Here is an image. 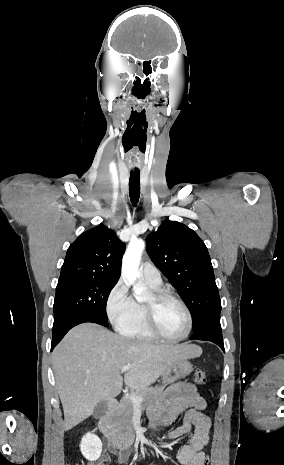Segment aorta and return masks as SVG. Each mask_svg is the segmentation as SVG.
Segmentation results:
<instances>
[{
	"label": "aorta",
	"instance_id": "1",
	"mask_svg": "<svg viewBox=\"0 0 284 465\" xmlns=\"http://www.w3.org/2000/svg\"><path fill=\"white\" fill-rule=\"evenodd\" d=\"M144 248L145 243L142 239L131 240L122 260L123 279L127 284L133 285L134 296L137 301H143L148 296L147 289L140 280L141 274L139 271Z\"/></svg>",
	"mask_w": 284,
	"mask_h": 465
}]
</instances>
